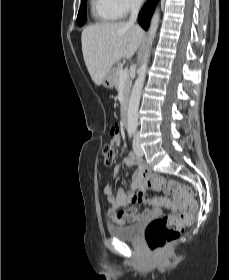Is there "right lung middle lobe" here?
Segmentation results:
<instances>
[{"mask_svg":"<svg viewBox=\"0 0 229 280\" xmlns=\"http://www.w3.org/2000/svg\"><path fill=\"white\" fill-rule=\"evenodd\" d=\"M86 9L87 0H81V6L77 16V23L79 26H82L86 22Z\"/></svg>","mask_w":229,"mask_h":280,"instance_id":"right-lung-middle-lobe-1","label":"right lung middle lobe"}]
</instances>
